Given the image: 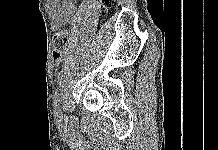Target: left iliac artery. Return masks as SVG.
I'll return each mask as SVG.
<instances>
[{
	"instance_id": "1",
	"label": "left iliac artery",
	"mask_w": 218,
	"mask_h": 150,
	"mask_svg": "<svg viewBox=\"0 0 218 150\" xmlns=\"http://www.w3.org/2000/svg\"><path fill=\"white\" fill-rule=\"evenodd\" d=\"M53 106H54L55 112L58 113L60 110V94H59L58 88L53 95Z\"/></svg>"
}]
</instances>
